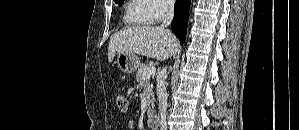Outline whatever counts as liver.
Segmentation results:
<instances>
[{
    "mask_svg": "<svg viewBox=\"0 0 299 130\" xmlns=\"http://www.w3.org/2000/svg\"><path fill=\"white\" fill-rule=\"evenodd\" d=\"M179 48L177 38L158 26L126 27L113 34L108 46V60L112 62L116 52L136 53L149 58L165 60Z\"/></svg>",
    "mask_w": 299,
    "mask_h": 130,
    "instance_id": "obj_1",
    "label": "liver"
}]
</instances>
